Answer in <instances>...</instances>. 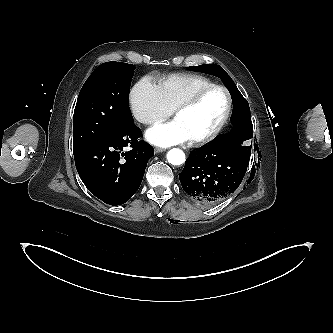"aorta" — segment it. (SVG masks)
Returning <instances> with one entry per match:
<instances>
[{
	"mask_svg": "<svg viewBox=\"0 0 333 333\" xmlns=\"http://www.w3.org/2000/svg\"><path fill=\"white\" fill-rule=\"evenodd\" d=\"M167 160L172 165H181L185 162V154L178 148H173L167 153Z\"/></svg>",
	"mask_w": 333,
	"mask_h": 333,
	"instance_id": "762f6f07",
	"label": "aorta"
}]
</instances>
